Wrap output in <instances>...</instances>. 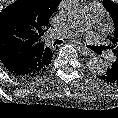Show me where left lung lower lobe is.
<instances>
[{
	"instance_id": "1",
	"label": "left lung lower lobe",
	"mask_w": 118,
	"mask_h": 118,
	"mask_svg": "<svg viewBox=\"0 0 118 118\" xmlns=\"http://www.w3.org/2000/svg\"><path fill=\"white\" fill-rule=\"evenodd\" d=\"M99 78L106 82L118 83V69L111 66L103 74L99 75Z\"/></svg>"
}]
</instances>
